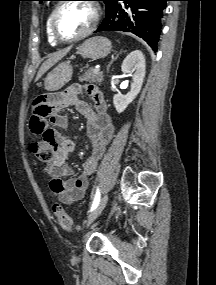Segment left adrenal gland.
Instances as JSON below:
<instances>
[{
	"instance_id": "a2214340",
	"label": "left adrenal gland",
	"mask_w": 216,
	"mask_h": 285,
	"mask_svg": "<svg viewBox=\"0 0 216 285\" xmlns=\"http://www.w3.org/2000/svg\"><path fill=\"white\" fill-rule=\"evenodd\" d=\"M122 51H120V53H121ZM120 53H118L117 55H116V57L109 63V65H108V67H107V71L109 70V67H110V65L113 63V61H115L117 58H118V56H119V54Z\"/></svg>"
}]
</instances>
